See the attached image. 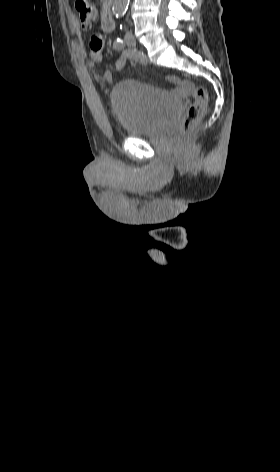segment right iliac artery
<instances>
[{
    "label": "right iliac artery",
    "instance_id": "1",
    "mask_svg": "<svg viewBox=\"0 0 280 472\" xmlns=\"http://www.w3.org/2000/svg\"><path fill=\"white\" fill-rule=\"evenodd\" d=\"M123 55L126 56L127 58L139 62L143 65H146L148 60L146 56L143 54V52L138 51L136 49H126L123 51Z\"/></svg>",
    "mask_w": 280,
    "mask_h": 472
}]
</instances>
